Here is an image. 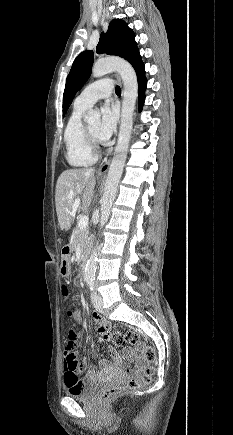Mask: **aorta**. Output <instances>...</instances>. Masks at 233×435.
<instances>
[{"label": "aorta", "instance_id": "aorta-1", "mask_svg": "<svg viewBox=\"0 0 233 435\" xmlns=\"http://www.w3.org/2000/svg\"><path fill=\"white\" fill-rule=\"evenodd\" d=\"M112 71H117L123 80L124 98L121 110V124L118 142L108 171L104 194L101 199L100 229L105 226L111 214L112 204L116 197L118 184L125 165L138 91L137 76L134 69L127 61L120 58H106L96 61L92 68V76L101 77ZM100 118L101 115L96 110H90L85 115V120L88 123L99 122ZM97 245L98 242L96 243V248L92 251L86 264L84 273V279L86 281H93L95 277Z\"/></svg>", "mask_w": 233, "mask_h": 435}]
</instances>
